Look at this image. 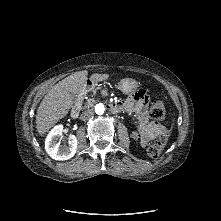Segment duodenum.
<instances>
[{"label":"duodenum","instance_id":"1","mask_svg":"<svg viewBox=\"0 0 221 221\" xmlns=\"http://www.w3.org/2000/svg\"><path fill=\"white\" fill-rule=\"evenodd\" d=\"M92 82L91 81H87L85 83V88H89L91 87ZM83 98H84V93H82L75 101L72 111H71V115L73 118H77L80 114L81 108H82V102H83ZM123 109H126V107L120 103H113L110 106V112L111 113H120L123 111Z\"/></svg>","mask_w":221,"mask_h":221}]
</instances>
